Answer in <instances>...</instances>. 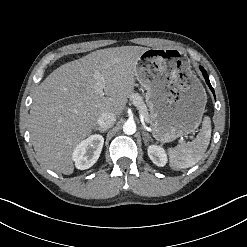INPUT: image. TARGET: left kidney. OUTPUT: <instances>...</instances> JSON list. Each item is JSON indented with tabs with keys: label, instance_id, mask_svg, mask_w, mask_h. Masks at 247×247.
<instances>
[{
	"label": "left kidney",
	"instance_id": "5707ae66",
	"mask_svg": "<svg viewBox=\"0 0 247 247\" xmlns=\"http://www.w3.org/2000/svg\"><path fill=\"white\" fill-rule=\"evenodd\" d=\"M148 156L151 161L159 167H163L167 163V155L160 146L150 145L148 147Z\"/></svg>",
	"mask_w": 247,
	"mask_h": 247
}]
</instances>
